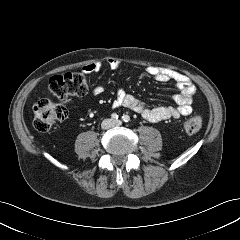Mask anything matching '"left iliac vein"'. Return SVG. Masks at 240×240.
Returning <instances> with one entry per match:
<instances>
[{
  "mask_svg": "<svg viewBox=\"0 0 240 240\" xmlns=\"http://www.w3.org/2000/svg\"><path fill=\"white\" fill-rule=\"evenodd\" d=\"M121 124H122V122L120 120H116L113 123V125H115V126H120Z\"/></svg>",
  "mask_w": 240,
  "mask_h": 240,
  "instance_id": "obj_1",
  "label": "left iliac vein"
}]
</instances>
